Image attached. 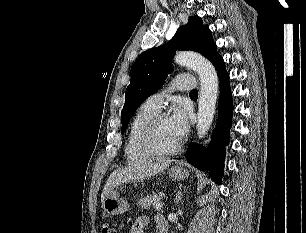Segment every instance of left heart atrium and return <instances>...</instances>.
<instances>
[{
    "mask_svg": "<svg viewBox=\"0 0 306 233\" xmlns=\"http://www.w3.org/2000/svg\"><path fill=\"white\" fill-rule=\"evenodd\" d=\"M169 125L170 128L178 141H181L189 128V120L187 111L181 106L177 105L174 107L172 114L170 115Z\"/></svg>",
    "mask_w": 306,
    "mask_h": 233,
    "instance_id": "39dd6f15",
    "label": "left heart atrium"
}]
</instances>
